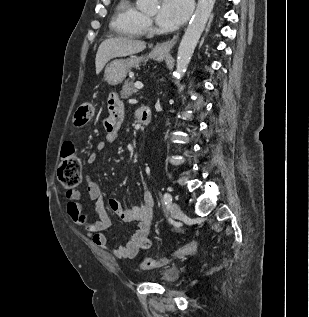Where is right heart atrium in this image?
I'll return each mask as SVG.
<instances>
[{"label":"right heart atrium","instance_id":"obj_1","mask_svg":"<svg viewBox=\"0 0 309 317\" xmlns=\"http://www.w3.org/2000/svg\"><path fill=\"white\" fill-rule=\"evenodd\" d=\"M143 26L144 27H150L151 26V20L148 18V17H144V20H143Z\"/></svg>","mask_w":309,"mask_h":317}]
</instances>
